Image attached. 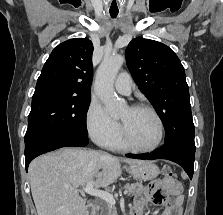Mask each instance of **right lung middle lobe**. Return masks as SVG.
<instances>
[{"label":"right lung middle lobe","mask_w":223,"mask_h":215,"mask_svg":"<svg viewBox=\"0 0 223 215\" xmlns=\"http://www.w3.org/2000/svg\"><path fill=\"white\" fill-rule=\"evenodd\" d=\"M90 98L44 93L33 95L25 142L39 137H87L86 115Z\"/></svg>","instance_id":"obj_1"}]
</instances>
